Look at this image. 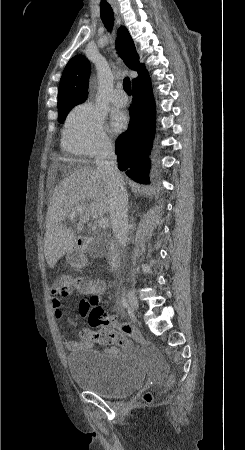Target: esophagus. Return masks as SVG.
<instances>
[{"label": "esophagus", "instance_id": "34e87169", "mask_svg": "<svg viewBox=\"0 0 245 450\" xmlns=\"http://www.w3.org/2000/svg\"><path fill=\"white\" fill-rule=\"evenodd\" d=\"M114 10H115V12H117V7L116 6H114Z\"/></svg>", "mask_w": 245, "mask_h": 450}]
</instances>
